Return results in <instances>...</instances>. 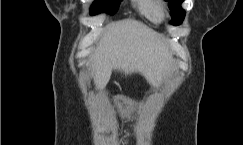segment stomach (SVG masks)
<instances>
[{"mask_svg":"<svg viewBox=\"0 0 243 145\" xmlns=\"http://www.w3.org/2000/svg\"><path fill=\"white\" fill-rule=\"evenodd\" d=\"M114 102L117 108L116 109L117 112L123 119L131 120L134 118L132 115V111H133V108L131 107L132 103L130 101H128L123 96H117L115 97Z\"/></svg>","mask_w":243,"mask_h":145,"instance_id":"1","label":"stomach"}]
</instances>
